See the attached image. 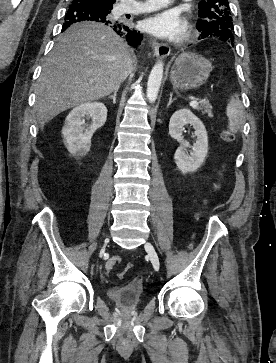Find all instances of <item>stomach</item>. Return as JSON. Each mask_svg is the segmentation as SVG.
Returning a JSON list of instances; mask_svg holds the SVG:
<instances>
[{
  "mask_svg": "<svg viewBox=\"0 0 276 363\" xmlns=\"http://www.w3.org/2000/svg\"><path fill=\"white\" fill-rule=\"evenodd\" d=\"M212 65L209 60L196 53L183 52L170 71V81L180 90L197 89L208 79Z\"/></svg>",
  "mask_w": 276,
  "mask_h": 363,
  "instance_id": "0dacf381",
  "label": "stomach"
}]
</instances>
